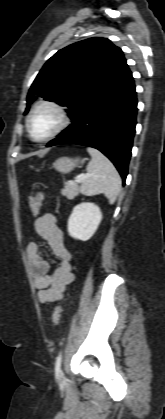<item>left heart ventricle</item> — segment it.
Listing matches in <instances>:
<instances>
[{"label": "left heart ventricle", "instance_id": "1", "mask_svg": "<svg viewBox=\"0 0 165 419\" xmlns=\"http://www.w3.org/2000/svg\"><path fill=\"white\" fill-rule=\"evenodd\" d=\"M58 123L57 114L49 108L35 112L31 120V131L35 138L41 139L53 131Z\"/></svg>", "mask_w": 165, "mask_h": 419}]
</instances>
